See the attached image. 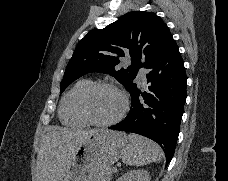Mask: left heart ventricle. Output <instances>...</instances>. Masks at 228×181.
I'll list each match as a JSON object with an SVG mask.
<instances>
[{"label": "left heart ventricle", "mask_w": 228, "mask_h": 181, "mask_svg": "<svg viewBox=\"0 0 228 181\" xmlns=\"http://www.w3.org/2000/svg\"><path fill=\"white\" fill-rule=\"evenodd\" d=\"M122 108V98L119 93L108 87L95 89L91 95L87 109L96 120H107L119 113Z\"/></svg>", "instance_id": "left-heart-ventricle-1"}]
</instances>
